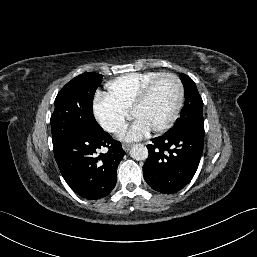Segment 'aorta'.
Instances as JSON below:
<instances>
[{
    "label": "aorta",
    "instance_id": "762f6f07",
    "mask_svg": "<svg viewBox=\"0 0 257 257\" xmlns=\"http://www.w3.org/2000/svg\"><path fill=\"white\" fill-rule=\"evenodd\" d=\"M130 156L138 161L145 160L148 157V149L142 144H136L131 148Z\"/></svg>",
    "mask_w": 257,
    "mask_h": 257
}]
</instances>
